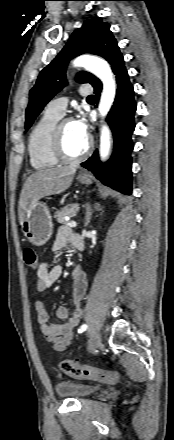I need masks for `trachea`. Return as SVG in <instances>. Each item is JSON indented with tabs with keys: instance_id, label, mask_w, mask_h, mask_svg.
<instances>
[{
	"instance_id": "trachea-1",
	"label": "trachea",
	"mask_w": 174,
	"mask_h": 440,
	"mask_svg": "<svg viewBox=\"0 0 174 440\" xmlns=\"http://www.w3.org/2000/svg\"><path fill=\"white\" fill-rule=\"evenodd\" d=\"M95 99V96L94 95H90V96H88V98H87V100H94Z\"/></svg>"
}]
</instances>
